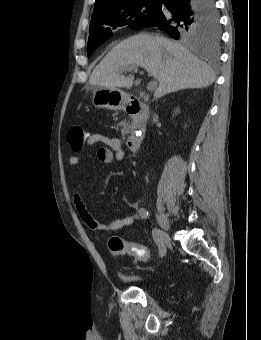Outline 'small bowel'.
Listing matches in <instances>:
<instances>
[{
  "instance_id": "1",
  "label": "small bowel",
  "mask_w": 261,
  "mask_h": 340,
  "mask_svg": "<svg viewBox=\"0 0 261 340\" xmlns=\"http://www.w3.org/2000/svg\"><path fill=\"white\" fill-rule=\"evenodd\" d=\"M100 143L102 144L101 147L97 150V158L103 164H114L116 162L121 161L124 156L125 152L122 148V142L119 138L114 136H109L101 133H86L85 144L91 146L94 144ZM69 163L72 166H81L82 160L78 156H71L69 158ZM114 173H108L103 181V188L97 194V197H102L106 189L110 183V180ZM73 204L80 216L81 220L84 224L92 229L93 231L99 232H113L120 230L125 227L131 226L140 215L138 213H134L132 215L113 220L111 222H105L99 220L90 207L82 200L80 194L75 192L73 194Z\"/></svg>"
}]
</instances>
